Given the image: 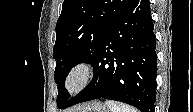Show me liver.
<instances>
[{
    "label": "liver",
    "mask_w": 193,
    "mask_h": 112,
    "mask_svg": "<svg viewBox=\"0 0 193 112\" xmlns=\"http://www.w3.org/2000/svg\"><path fill=\"white\" fill-rule=\"evenodd\" d=\"M82 106H83V105H82ZM79 108H80V107H79ZM79 108H76V109L74 108V109H72L71 111L75 112V111H76L77 109H79Z\"/></svg>",
    "instance_id": "liver-1"
}]
</instances>
